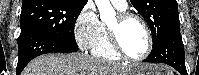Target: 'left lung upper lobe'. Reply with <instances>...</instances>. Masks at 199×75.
Returning a JSON list of instances; mask_svg holds the SVG:
<instances>
[{"label": "left lung upper lobe", "mask_w": 199, "mask_h": 75, "mask_svg": "<svg viewBox=\"0 0 199 75\" xmlns=\"http://www.w3.org/2000/svg\"><path fill=\"white\" fill-rule=\"evenodd\" d=\"M143 16L152 33L153 47L169 34L180 30L176 0H130Z\"/></svg>", "instance_id": "left-lung-upper-lobe-1"}]
</instances>
